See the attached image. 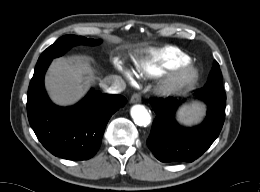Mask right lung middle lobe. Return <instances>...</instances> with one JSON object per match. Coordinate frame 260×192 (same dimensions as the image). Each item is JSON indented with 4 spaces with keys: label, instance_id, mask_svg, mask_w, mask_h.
<instances>
[{
    "label": "right lung middle lobe",
    "instance_id": "right-lung-middle-lobe-1",
    "mask_svg": "<svg viewBox=\"0 0 260 192\" xmlns=\"http://www.w3.org/2000/svg\"><path fill=\"white\" fill-rule=\"evenodd\" d=\"M99 43H101V40L87 39L83 36H62L41 54L36 66H39L45 62H50L53 58L62 56L68 49H70L74 45H97Z\"/></svg>",
    "mask_w": 260,
    "mask_h": 192
}]
</instances>
